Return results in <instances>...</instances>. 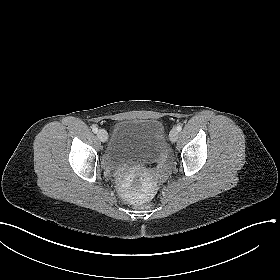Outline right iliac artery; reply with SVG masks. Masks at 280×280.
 Listing matches in <instances>:
<instances>
[{"instance_id":"1","label":"right iliac artery","mask_w":280,"mask_h":280,"mask_svg":"<svg viewBox=\"0 0 280 280\" xmlns=\"http://www.w3.org/2000/svg\"><path fill=\"white\" fill-rule=\"evenodd\" d=\"M92 131H93L94 133H97V132H98V128H97V127H93V128H92Z\"/></svg>"}]
</instances>
